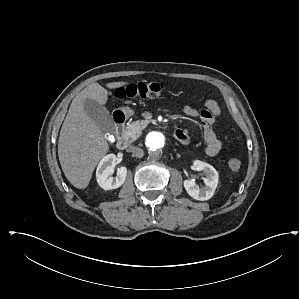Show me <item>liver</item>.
Returning a JSON list of instances; mask_svg holds the SVG:
<instances>
[{
	"label": "liver",
	"mask_w": 299,
	"mask_h": 299,
	"mask_svg": "<svg viewBox=\"0 0 299 299\" xmlns=\"http://www.w3.org/2000/svg\"><path fill=\"white\" fill-rule=\"evenodd\" d=\"M128 82L106 84L109 89L127 85ZM87 99L100 105L106 104L108 91L98 83L84 88L72 101L63 122L59 141L58 157L68 181L78 189H85L100 159L109 151V145L99 126L84 109Z\"/></svg>",
	"instance_id": "obj_1"
}]
</instances>
